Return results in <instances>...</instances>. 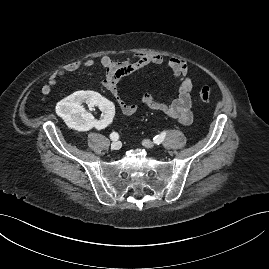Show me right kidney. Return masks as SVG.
Wrapping results in <instances>:
<instances>
[{"label":"right kidney","instance_id":"right-kidney-1","mask_svg":"<svg viewBox=\"0 0 269 269\" xmlns=\"http://www.w3.org/2000/svg\"><path fill=\"white\" fill-rule=\"evenodd\" d=\"M83 102L89 107L98 106L104 113L94 119L90 113L85 112ZM56 112L73 129L102 131L111 125L115 108L111 101L96 92L78 91L60 101L56 106Z\"/></svg>","mask_w":269,"mask_h":269}]
</instances>
